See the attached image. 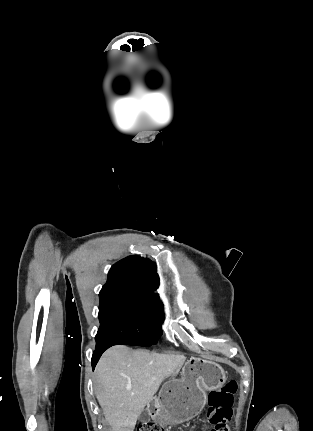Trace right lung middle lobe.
I'll list each match as a JSON object with an SVG mask.
<instances>
[{
    "label": "right lung middle lobe",
    "instance_id": "obj_1",
    "mask_svg": "<svg viewBox=\"0 0 313 431\" xmlns=\"http://www.w3.org/2000/svg\"><path fill=\"white\" fill-rule=\"evenodd\" d=\"M99 297L100 327L95 337L96 346H150L156 343L164 320L162 308L116 294Z\"/></svg>",
    "mask_w": 313,
    "mask_h": 431
}]
</instances>
